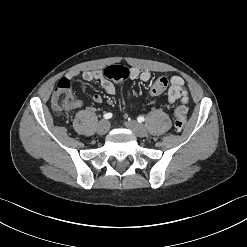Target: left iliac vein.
<instances>
[{
	"instance_id": "left-iliac-vein-1",
	"label": "left iliac vein",
	"mask_w": 247,
	"mask_h": 247,
	"mask_svg": "<svg viewBox=\"0 0 247 247\" xmlns=\"http://www.w3.org/2000/svg\"><path fill=\"white\" fill-rule=\"evenodd\" d=\"M125 125L129 129H131L134 132V134H136L138 137L147 136V129L143 124H141L135 120H129V121L125 122Z\"/></svg>"
}]
</instances>
